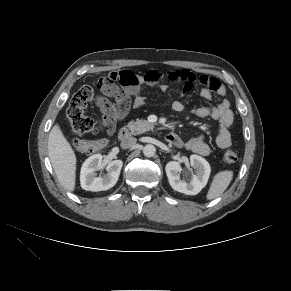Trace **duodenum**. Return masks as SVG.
<instances>
[{"mask_svg":"<svg viewBox=\"0 0 291 291\" xmlns=\"http://www.w3.org/2000/svg\"><path fill=\"white\" fill-rule=\"evenodd\" d=\"M130 135H131L130 129L128 127H122L119 130L118 138H119V140L124 141V140L128 139ZM166 139L168 142L172 143L175 140V135L170 133L167 135Z\"/></svg>","mask_w":291,"mask_h":291,"instance_id":"obj_1","label":"duodenum"}]
</instances>
